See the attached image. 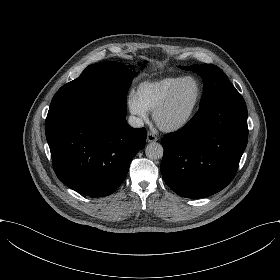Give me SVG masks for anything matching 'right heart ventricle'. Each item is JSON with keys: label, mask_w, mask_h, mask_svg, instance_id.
Returning a JSON list of instances; mask_svg holds the SVG:
<instances>
[{"label": "right heart ventricle", "mask_w": 280, "mask_h": 280, "mask_svg": "<svg viewBox=\"0 0 280 280\" xmlns=\"http://www.w3.org/2000/svg\"><path fill=\"white\" fill-rule=\"evenodd\" d=\"M183 77V75L176 74L142 80L136 85L134 95L142 107L154 112Z\"/></svg>", "instance_id": "obj_1"}]
</instances>
